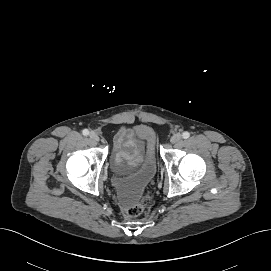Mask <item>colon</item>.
<instances>
[{
    "label": "colon",
    "instance_id": "1",
    "mask_svg": "<svg viewBox=\"0 0 271 271\" xmlns=\"http://www.w3.org/2000/svg\"><path fill=\"white\" fill-rule=\"evenodd\" d=\"M145 206L142 203L134 204L124 208L123 213L127 217H137L144 211Z\"/></svg>",
    "mask_w": 271,
    "mask_h": 271
}]
</instances>
